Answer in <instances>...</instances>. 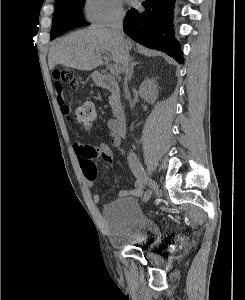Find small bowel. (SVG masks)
Returning a JSON list of instances; mask_svg holds the SVG:
<instances>
[{
    "instance_id": "small-bowel-1",
    "label": "small bowel",
    "mask_w": 245,
    "mask_h": 300,
    "mask_svg": "<svg viewBox=\"0 0 245 300\" xmlns=\"http://www.w3.org/2000/svg\"><path fill=\"white\" fill-rule=\"evenodd\" d=\"M54 89L56 93V101L59 105L60 112L64 118L67 120L71 117V110L70 107L66 104L65 98L63 95L62 85L61 83L54 78ZM125 128L121 127L120 124L117 122L116 119H110L107 122V134L111 140L112 147H118L121 144L123 137L125 136ZM73 148L78 156L80 164L84 170V163L86 161H93L94 159L101 157L107 163L112 165L113 163V156L111 147L103 142H100L98 145H84L78 141L73 143ZM143 184L139 179L135 181L134 187L130 190L122 191L120 196H140L143 192ZM95 203H99L101 197L99 194L95 193L92 197Z\"/></svg>"
}]
</instances>
